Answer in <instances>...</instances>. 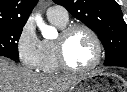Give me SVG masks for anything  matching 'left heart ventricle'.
Here are the masks:
<instances>
[{
	"label": "left heart ventricle",
	"mask_w": 127,
	"mask_h": 92,
	"mask_svg": "<svg viewBox=\"0 0 127 92\" xmlns=\"http://www.w3.org/2000/svg\"><path fill=\"white\" fill-rule=\"evenodd\" d=\"M66 57L74 68L89 66L96 57V48L91 36L84 30L75 31L68 39Z\"/></svg>",
	"instance_id": "1"
}]
</instances>
